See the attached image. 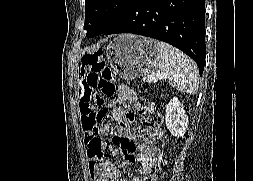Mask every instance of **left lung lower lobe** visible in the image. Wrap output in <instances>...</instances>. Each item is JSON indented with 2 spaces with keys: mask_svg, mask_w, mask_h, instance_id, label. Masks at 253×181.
Wrapping results in <instances>:
<instances>
[{
  "mask_svg": "<svg viewBox=\"0 0 253 181\" xmlns=\"http://www.w3.org/2000/svg\"><path fill=\"white\" fill-rule=\"evenodd\" d=\"M133 33L167 42L190 56L202 75L205 64L204 0H132L105 35Z\"/></svg>",
  "mask_w": 253,
  "mask_h": 181,
  "instance_id": "left-lung-lower-lobe-1",
  "label": "left lung lower lobe"
}]
</instances>
